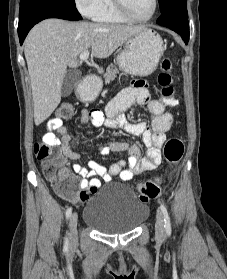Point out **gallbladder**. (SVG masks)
<instances>
[{
  "label": "gallbladder",
  "instance_id": "obj_1",
  "mask_svg": "<svg viewBox=\"0 0 227 279\" xmlns=\"http://www.w3.org/2000/svg\"><path fill=\"white\" fill-rule=\"evenodd\" d=\"M81 72L78 70H68L63 79L61 93L62 96H68L76 86V84L80 81Z\"/></svg>",
  "mask_w": 227,
  "mask_h": 279
}]
</instances>
